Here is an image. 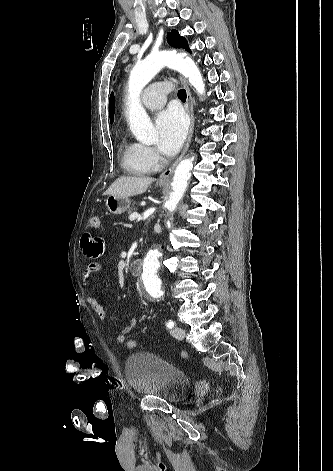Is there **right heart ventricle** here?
Masks as SVG:
<instances>
[{
  "instance_id": "obj_1",
  "label": "right heart ventricle",
  "mask_w": 333,
  "mask_h": 471,
  "mask_svg": "<svg viewBox=\"0 0 333 471\" xmlns=\"http://www.w3.org/2000/svg\"><path fill=\"white\" fill-rule=\"evenodd\" d=\"M122 164L125 170L134 175H145L151 172V168L146 165L139 151V144L127 141L123 138L120 143Z\"/></svg>"
}]
</instances>
